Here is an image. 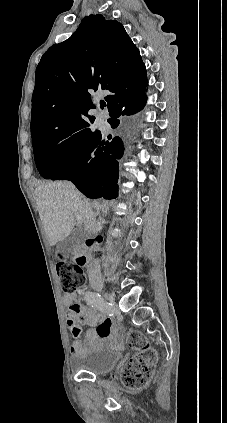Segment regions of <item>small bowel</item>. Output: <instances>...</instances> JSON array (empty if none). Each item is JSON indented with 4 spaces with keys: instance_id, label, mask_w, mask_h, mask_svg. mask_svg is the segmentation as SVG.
Masks as SVG:
<instances>
[{
    "instance_id": "1",
    "label": "small bowel",
    "mask_w": 227,
    "mask_h": 423,
    "mask_svg": "<svg viewBox=\"0 0 227 423\" xmlns=\"http://www.w3.org/2000/svg\"><path fill=\"white\" fill-rule=\"evenodd\" d=\"M75 294H66L64 302L68 305L66 321L72 336L76 339L70 346L72 354H78L85 350V347L78 340L81 333V324L88 325L85 333V341L89 348L96 347L109 340L114 331L120 334L121 329H114V322L111 318L99 312L97 308L87 307L76 302Z\"/></svg>"
}]
</instances>
